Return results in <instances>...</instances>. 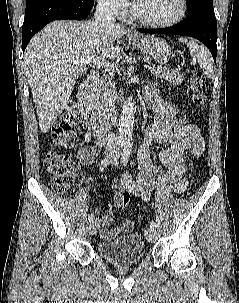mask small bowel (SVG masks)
<instances>
[{
	"label": "small bowel",
	"mask_w": 239,
	"mask_h": 303,
	"mask_svg": "<svg viewBox=\"0 0 239 303\" xmlns=\"http://www.w3.org/2000/svg\"><path fill=\"white\" fill-rule=\"evenodd\" d=\"M146 98L152 108L157 112V120L150 125L145 137L138 149L139 173L137 182H134L128 174L113 182L115 197L113 205L120 208V193L129 190L135 195L148 199L151 192L156 188L155 176L159 173V167L151 160V145L159 143L168 145L160 153V159L167 168L165 179L172 185L175 193H182L188 186L187 166L185 155L190 152L194 159H199L205 149V141L197 127L183 123L176 110L164 102L155 92L147 91ZM86 145L76 151L78 161L85 166L93 168L94 159L98 156L105 138L95 136L87 132L83 136ZM101 226L100 235L105 240H112L121 233H128L132 230L133 222L126 220L119 226L111 228L112 218L103 215L99 218Z\"/></svg>",
	"instance_id": "c3829d8e"
}]
</instances>
